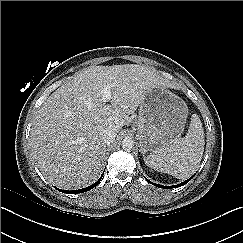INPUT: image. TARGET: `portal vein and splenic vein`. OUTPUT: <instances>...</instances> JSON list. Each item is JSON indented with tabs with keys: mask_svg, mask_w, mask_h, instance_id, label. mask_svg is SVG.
I'll return each instance as SVG.
<instances>
[{
	"mask_svg": "<svg viewBox=\"0 0 243 243\" xmlns=\"http://www.w3.org/2000/svg\"><path fill=\"white\" fill-rule=\"evenodd\" d=\"M112 86V84H109L101 91L103 102H108L111 99Z\"/></svg>",
	"mask_w": 243,
	"mask_h": 243,
	"instance_id": "portal-vein-and-splenic-vein-1",
	"label": "portal vein and splenic vein"
}]
</instances>
